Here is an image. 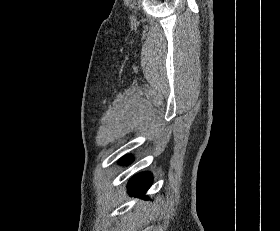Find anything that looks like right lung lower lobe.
I'll return each instance as SVG.
<instances>
[{
	"instance_id": "right-lung-lower-lobe-1",
	"label": "right lung lower lobe",
	"mask_w": 280,
	"mask_h": 231,
	"mask_svg": "<svg viewBox=\"0 0 280 231\" xmlns=\"http://www.w3.org/2000/svg\"><path fill=\"white\" fill-rule=\"evenodd\" d=\"M132 160L128 157L125 163H130ZM152 183V176L148 172L140 173L132 177L128 184V191L131 196L140 197L150 187Z\"/></svg>"
}]
</instances>
